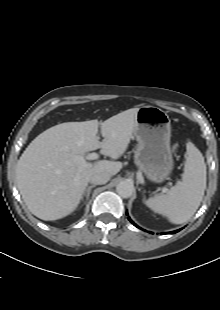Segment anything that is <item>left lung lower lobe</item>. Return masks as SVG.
<instances>
[{"label":"left lung lower lobe","instance_id":"left-lung-lower-lobe-1","mask_svg":"<svg viewBox=\"0 0 220 310\" xmlns=\"http://www.w3.org/2000/svg\"><path fill=\"white\" fill-rule=\"evenodd\" d=\"M129 220H130V222L132 223V224H134V226H136L137 228H139V229H141L139 226H137L130 218H128ZM181 229H179V230H176V231H172V232H167V233H164V234H174V233H176V232H178V231H180Z\"/></svg>","mask_w":220,"mask_h":310}]
</instances>
